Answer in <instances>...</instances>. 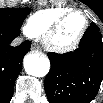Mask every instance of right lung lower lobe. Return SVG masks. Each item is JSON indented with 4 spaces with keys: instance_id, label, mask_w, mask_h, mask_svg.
Segmentation results:
<instances>
[{
    "instance_id": "obj_1",
    "label": "right lung lower lobe",
    "mask_w": 103,
    "mask_h": 103,
    "mask_svg": "<svg viewBox=\"0 0 103 103\" xmlns=\"http://www.w3.org/2000/svg\"><path fill=\"white\" fill-rule=\"evenodd\" d=\"M18 35L20 31L0 27V102H8L11 99L23 57L31 47L30 41L13 47L11 42Z\"/></svg>"
}]
</instances>
